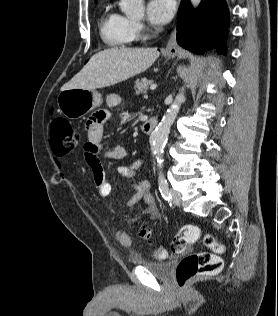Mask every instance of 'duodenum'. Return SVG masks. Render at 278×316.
Listing matches in <instances>:
<instances>
[{"label":"duodenum","instance_id":"1","mask_svg":"<svg viewBox=\"0 0 278 316\" xmlns=\"http://www.w3.org/2000/svg\"><path fill=\"white\" fill-rule=\"evenodd\" d=\"M157 119L155 117H150L142 124V131L145 134H150L154 131L157 126Z\"/></svg>","mask_w":278,"mask_h":316}]
</instances>
